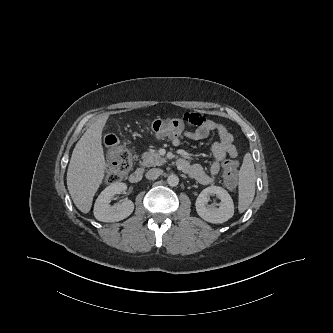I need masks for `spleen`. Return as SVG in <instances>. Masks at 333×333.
Returning a JSON list of instances; mask_svg holds the SVG:
<instances>
[{
	"label": "spleen",
	"instance_id": "spleen-1",
	"mask_svg": "<svg viewBox=\"0 0 333 333\" xmlns=\"http://www.w3.org/2000/svg\"><path fill=\"white\" fill-rule=\"evenodd\" d=\"M255 169L250 154H246L239 171L238 209L243 213L252 203L255 196Z\"/></svg>",
	"mask_w": 333,
	"mask_h": 333
}]
</instances>
